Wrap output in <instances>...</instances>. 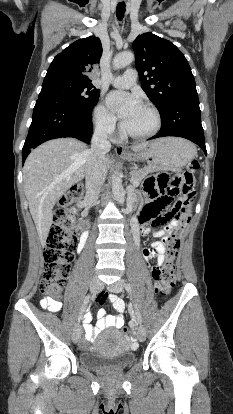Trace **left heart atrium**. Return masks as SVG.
I'll return each mask as SVG.
<instances>
[{"label":"left heart atrium","instance_id":"obj_1","mask_svg":"<svg viewBox=\"0 0 233 414\" xmlns=\"http://www.w3.org/2000/svg\"><path fill=\"white\" fill-rule=\"evenodd\" d=\"M106 102L108 107L122 120L123 124L142 108V104L136 96L123 91L110 92L107 95Z\"/></svg>","mask_w":233,"mask_h":414}]
</instances>
